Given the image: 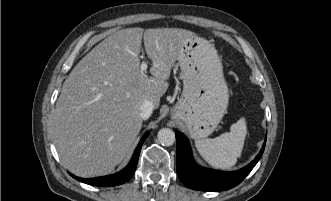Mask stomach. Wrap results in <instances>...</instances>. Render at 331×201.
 <instances>
[{
    "instance_id": "obj_1",
    "label": "stomach",
    "mask_w": 331,
    "mask_h": 201,
    "mask_svg": "<svg viewBox=\"0 0 331 201\" xmlns=\"http://www.w3.org/2000/svg\"><path fill=\"white\" fill-rule=\"evenodd\" d=\"M183 92L172 118L185 125L193 139L209 136L226 113L229 91L219 55L209 41L193 36L178 56Z\"/></svg>"
}]
</instances>
